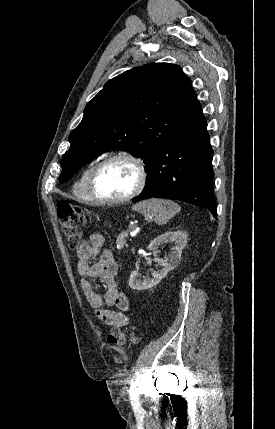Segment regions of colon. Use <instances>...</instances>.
<instances>
[{
    "label": "colon",
    "instance_id": "1",
    "mask_svg": "<svg viewBox=\"0 0 275 429\" xmlns=\"http://www.w3.org/2000/svg\"><path fill=\"white\" fill-rule=\"evenodd\" d=\"M56 211L68 247L72 250L79 248L82 241V226L89 221V216L67 201L59 202ZM127 340V333L121 326L114 324L108 333L107 342L111 346L122 347Z\"/></svg>",
    "mask_w": 275,
    "mask_h": 429
}]
</instances>
